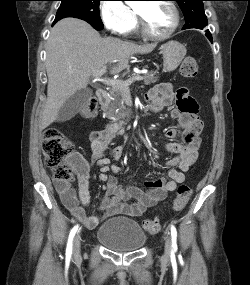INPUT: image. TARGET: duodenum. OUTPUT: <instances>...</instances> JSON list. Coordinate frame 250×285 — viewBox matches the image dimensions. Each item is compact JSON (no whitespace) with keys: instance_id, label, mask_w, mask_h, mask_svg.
Segmentation results:
<instances>
[{"instance_id":"duodenum-1","label":"duodenum","mask_w":250,"mask_h":285,"mask_svg":"<svg viewBox=\"0 0 250 285\" xmlns=\"http://www.w3.org/2000/svg\"><path fill=\"white\" fill-rule=\"evenodd\" d=\"M97 97L99 99V101L104 104L107 102L108 100V92L103 89V88H100L97 90ZM117 126L116 125H111L110 128L111 129H115Z\"/></svg>"}]
</instances>
